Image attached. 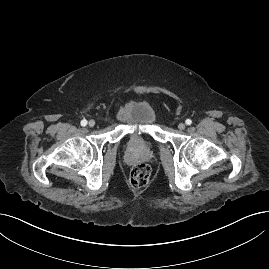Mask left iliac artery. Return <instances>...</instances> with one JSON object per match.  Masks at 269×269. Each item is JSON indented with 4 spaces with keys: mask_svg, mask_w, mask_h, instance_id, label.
I'll return each mask as SVG.
<instances>
[{
    "mask_svg": "<svg viewBox=\"0 0 269 269\" xmlns=\"http://www.w3.org/2000/svg\"><path fill=\"white\" fill-rule=\"evenodd\" d=\"M185 123H186L187 125H191V124H192V121H191V119H186Z\"/></svg>",
    "mask_w": 269,
    "mask_h": 269,
    "instance_id": "obj_1",
    "label": "left iliac artery"
}]
</instances>
